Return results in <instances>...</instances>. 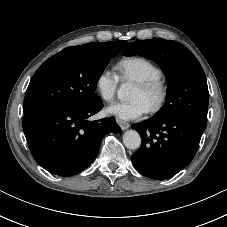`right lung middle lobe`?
Instances as JSON below:
<instances>
[{
	"mask_svg": "<svg viewBox=\"0 0 227 227\" xmlns=\"http://www.w3.org/2000/svg\"><path fill=\"white\" fill-rule=\"evenodd\" d=\"M122 42H102L95 47L72 46L46 60L35 72L24 99V113L49 106H83L100 98L94 93L111 58Z\"/></svg>",
	"mask_w": 227,
	"mask_h": 227,
	"instance_id": "obj_1",
	"label": "right lung middle lobe"
}]
</instances>
